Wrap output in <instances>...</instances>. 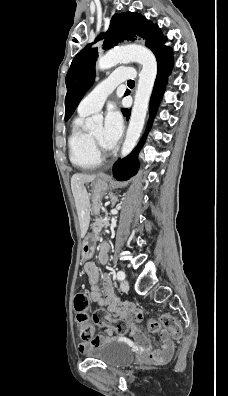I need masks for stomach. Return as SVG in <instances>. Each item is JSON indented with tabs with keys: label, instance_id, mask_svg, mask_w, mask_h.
<instances>
[{
	"label": "stomach",
	"instance_id": "1",
	"mask_svg": "<svg viewBox=\"0 0 228 396\" xmlns=\"http://www.w3.org/2000/svg\"><path fill=\"white\" fill-rule=\"evenodd\" d=\"M109 188V180L106 176L98 177L93 183V195H92V212L95 215H99L101 210V199ZM97 242V236L94 233H88L81 245V255L83 260H88L93 256L95 246Z\"/></svg>",
	"mask_w": 228,
	"mask_h": 396
}]
</instances>
